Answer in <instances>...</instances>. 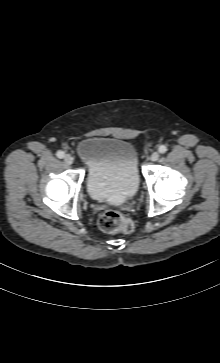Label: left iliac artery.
Listing matches in <instances>:
<instances>
[{"mask_svg": "<svg viewBox=\"0 0 220 363\" xmlns=\"http://www.w3.org/2000/svg\"><path fill=\"white\" fill-rule=\"evenodd\" d=\"M159 152H160L161 154L166 153V152H167V147H166L165 145H161V146L159 147Z\"/></svg>", "mask_w": 220, "mask_h": 363, "instance_id": "44dca946", "label": "left iliac artery"}]
</instances>
